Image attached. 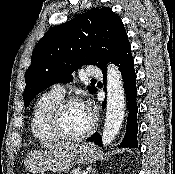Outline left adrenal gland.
I'll return each instance as SVG.
<instances>
[{"instance_id": "obj_1", "label": "left adrenal gland", "mask_w": 175, "mask_h": 174, "mask_svg": "<svg viewBox=\"0 0 175 174\" xmlns=\"http://www.w3.org/2000/svg\"><path fill=\"white\" fill-rule=\"evenodd\" d=\"M94 173H95V169L92 170V174H94Z\"/></svg>"}]
</instances>
